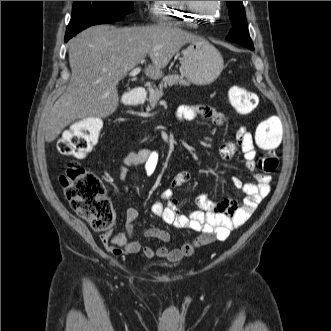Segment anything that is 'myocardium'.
<instances>
[{
  "label": "myocardium",
  "instance_id": "myocardium-1",
  "mask_svg": "<svg viewBox=\"0 0 331 331\" xmlns=\"http://www.w3.org/2000/svg\"><path fill=\"white\" fill-rule=\"evenodd\" d=\"M184 2L187 7L195 14H198L200 16H213L215 15V13L220 9L221 7V3L220 1H214V6L212 8V10L207 11L206 9L202 8L201 6H199L197 4V1H182Z\"/></svg>",
  "mask_w": 331,
  "mask_h": 331
}]
</instances>
